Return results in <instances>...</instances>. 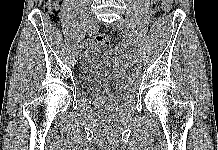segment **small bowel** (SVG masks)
I'll list each match as a JSON object with an SVG mask.
<instances>
[{
  "label": "small bowel",
  "instance_id": "c3829d8e",
  "mask_svg": "<svg viewBox=\"0 0 218 150\" xmlns=\"http://www.w3.org/2000/svg\"><path fill=\"white\" fill-rule=\"evenodd\" d=\"M172 1L173 0H164V3L166 5L167 9L171 7Z\"/></svg>",
  "mask_w": 218,
  "mask_h": 150
}]
</instances>
